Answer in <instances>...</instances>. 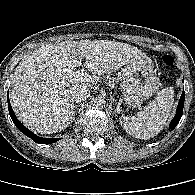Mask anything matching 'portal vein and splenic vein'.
I'll use <instances>...</instances> for the list:
<instances>
[{
    "label": "portal vein and splenic vein",
    "instance_id": "1",
    "mask_svg": "<svg viewBox=\"0 0 195 195\" xmlns=\"http://www.w3.org/2000/svg\"><path fill=\"white\" fill-rule=\"evenodd\" d=\"M69 72L76 75V77H80L81 79L88 77V75L86 73H84L83 71H81V72H71V71H69Z\"/></svg>",
    "mask_w": 195,
    "mask_h": 195
}]
</instances>
